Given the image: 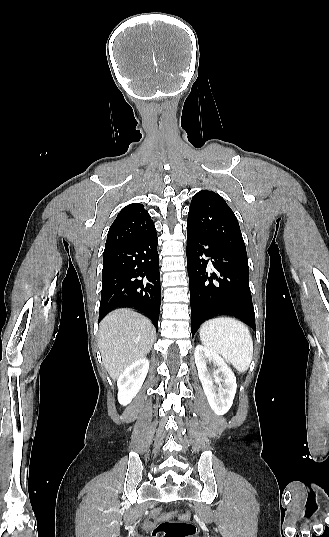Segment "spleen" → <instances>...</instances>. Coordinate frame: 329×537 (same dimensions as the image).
<instances>
[{
  "instance_id": "spleen-1",
  "label": "spleen",
  "mask_w": 329,
  "mask_h": 537,
  "mask_svg": "<svg viewBox=\"0 0 329 537\" xmlns=\"http://www.w3.org/2000/svg\"><path fill=\"white\" fill-rule=\"evenodd\" d=\"M202 344L231 362L239 372H245L252 361L253 341L249 329L231 317H217L200 328Z\"/></svg>"
}]
</instances>
